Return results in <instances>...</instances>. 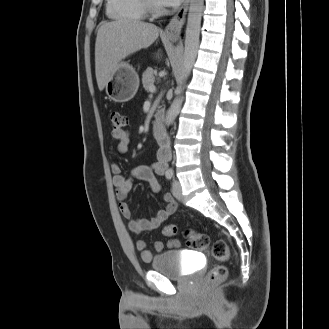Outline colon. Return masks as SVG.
I'll use <instances>...</instances> for the list:
<instances>
[{"mask_svg":"<svg viewBox=\"0 0 329 329\" xmlns=\"http://www.w3.org/2000/svg\"><path fill=\"white\" fill-rule=\"evenodd\" d=\"M112 134L120 136L127 126V117L120 112L113 111L110 115ZM162 234L166 237H173L177 234V226L174 224H166L162 227ZM185 239L187 245L196 250L209 252L212 256L220 261L226 262L230 258V251L223 240H217L212 245L207 234L189 229L185 231ZM228 275V269L223 264L214 266L206 276L207 284H215L222 282Z\"/></svg>","mask_w":329,"mask_h":329,"instance_id":"colon-1","label":"colon"}]
</instances>
